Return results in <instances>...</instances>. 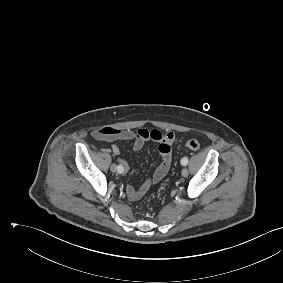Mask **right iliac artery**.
<instances>
[{
  "mask_svg": "<svg viewBox=\"0 0 283 283\" xmlns=\"http://www.w3.org/2000/svg\"><path fill=\"white\" fill-rule=\"evenodd\" d=\"M117 169H118V172H119V173H122V172H123V167H122L121 165H118Z\"/></svg>",
  "mask_w": 283,
  "mask_h": 283,
  "instance_id": "right-iliac-artery-1",
  "label": "right iliac artery"
}]
</instances>
